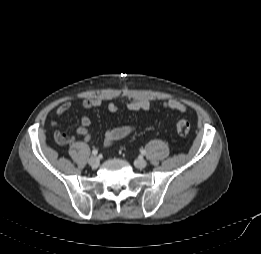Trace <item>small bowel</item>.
Masks as SVG:
<instances>
[{"instance_id": "c3829d8e", "label": "small bowel", "mask_w": 261, "mask_h": 254, "mask_svg": "<svg viewBox=\"0 0 261 254\" xmlns=\"http://www.w3.org/2000/svg\"><path fill=\"white\" fill-rule=\"evenodd\" d=\"M103 105V100L98 97L85 98L81 102V106L84 109H90L94 107H99ZM162 106L167 109L175 110L181 113L187 111V107L180 101L169 99L162 103ZM129 110L132 111H149L154 108V104L148 99L134 100L127 105ZM71 108V102L65 101L61 103L57 109L56 114L62 116L67 113ZM107 110L110 113H115L118 110V106L115 102H109L106 105ZM53 126H57L56 122H52ZM91 125V119L89 116L84 115L81 117L80 126L76 129L77 135L83 137L84 141L87 143L92 142L91 134L89 132V126ZM135 131L133 126H119L112 129H108L104 134L103 145L105 147H110L116 141L125 138ZM56 138L62 143H74L75 138L69 137L61 132L56 133Z\"/></svg>"}]
</instances>
